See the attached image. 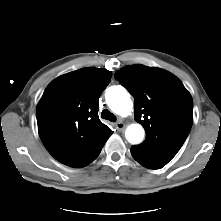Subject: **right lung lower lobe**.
Segmentation results:
<instances>
[{"label": "right lung lower lobe", "mask_w": 221, "mask_h": 221, "mask_svg": "<svg viewBox=\"0 0 221 221\" xmlns=\"http://www.w3.org/2000/svg\"><path fill=\"white\" fill-rule=\"evenodd\" d=\"M110 136V135H109ZM106 137L103 141H101L99 144H97L92 150H90L84 157H82L80 160L76 161L75 163L69 165L71 167H84L86 165H88L90 162H92L95 158H97V156L99 155V153L101 152V149L103 147V145L105 144V142L107 141V139L109 138Z\"/></svg>", "instance_id": "98d812e1"}]
</instances>
